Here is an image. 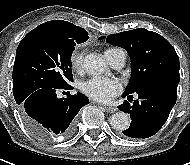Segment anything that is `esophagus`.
<instances>
[{
	"instance_id": "34e87169",
	"label": "esophagus",
	"mask_w": 190,
	"mask_h": 165,
	"mask_svg": "<svg viewBox=\"0 0 190 165\" xmlns=\"http://www.w3.org/2000/svg\"><path fill=\"white\" fill-rule=\"evenodd\" d=\"M107 112L109 113H115L117 109L115 107H110V106H102Z\"/></svg>"
}]
</instances>
